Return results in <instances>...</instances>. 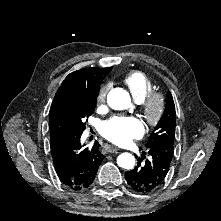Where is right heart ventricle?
Returning <instances> with one entry per match:
<instances>
[{
    "label": "right heart ventricle",
    "mask_w": 221,
    "mask_h": 221,
    "mask_svg": "<svg viewBox=\"0 0 221 221\" xmlns=\"http://www.w3.org/2000/svg\"><path fill=\"white\" fill-rule=\"evenodd\" d=\"M122 82L137 102H143L153 91V82L148 74L140 70H132L123 76Z\"/></svg>",
    "instance_id": "1"
}]
</instances>
